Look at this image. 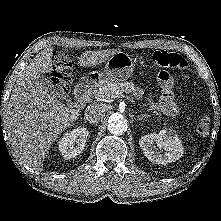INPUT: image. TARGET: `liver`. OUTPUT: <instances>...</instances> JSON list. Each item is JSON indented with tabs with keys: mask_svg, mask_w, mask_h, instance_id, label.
<instances>
[{
	"mask_svg": "<svg viewBox=\"0 0 221 221\" xmlns=\"http://www.w3.org/2000/svg\"><path fill=\"white\" fill-rule=\"evenodd\" d=\"M53 51V47L42 50L19 74L4 121L15 156L36 170H42L50 146L80 114V109L68 108L47 93L39 81L41 75L53 70ZM117 52V49L86 51L78 64L96 66Z\"/></svg>",
	"mask_w": 221,
	"mask_h": 221,
	"instance_id": "obj_1",
	"label": "liver"
}]
</instances>
